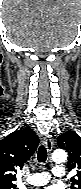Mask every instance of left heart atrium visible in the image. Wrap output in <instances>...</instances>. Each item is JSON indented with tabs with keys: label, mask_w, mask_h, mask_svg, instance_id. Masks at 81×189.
<instances>
[{
	"label": "left heart atrium",
	"mask_w": 81,
	"mask_h": 189,
	"mask_svg": "<svg viewBox=\"0 0 81 189\" xmlns=\"http://www.w3.org/2000/svg\"><path fill=\"white\" fill-rule=\"evenodd\" d=\"M45 189H60V188L57 187V186H49V187H47V188H45Z\"/></svg>",
	"instance_id": "obj_1"
}]
</instances>
